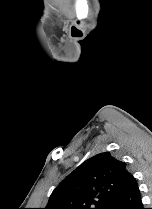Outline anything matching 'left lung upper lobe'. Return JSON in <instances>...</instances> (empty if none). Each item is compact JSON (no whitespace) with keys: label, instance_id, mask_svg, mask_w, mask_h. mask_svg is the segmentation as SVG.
<instances>
[{"label":"left lung upper lobe","instance_id":"left-lung-upper-lobe-1","mask_svg":"<svg viewBox=\"0 0 152 209\" xmlns=\"http://www.w3.org/2000/svg\"><path fill=\"white\" fill-rule=\"evenodd\" d=\"M130 177L124 162L110 152L99 153L57 186L46 209H109L122 195Z\"/></svg>","mask_w":152,"mask_h":209}]
</instances>
